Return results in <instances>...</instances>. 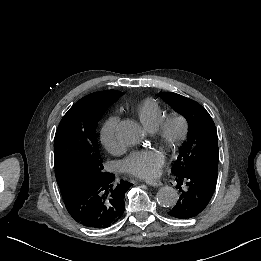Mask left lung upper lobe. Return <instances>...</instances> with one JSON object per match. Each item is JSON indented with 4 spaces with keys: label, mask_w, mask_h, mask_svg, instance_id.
<instances>
[{
    "label": "left lung upper lobe",
    "mask_w": 261,
    "mask_h": 261,
    "mask_svg": "<svg viewBox=\"0 0 261 261\" xmlns=\"http://www.w3.org/2000/svg\"><path fill=\"white\" fill-rule=\"evenodd\" d=\"M159 96L176 111L184 114L188 122L187 141L172 166L174 175L194 170L217 178L219 149L217 131L209 113L199 103L182 95L160 92Z\"/></svg>",
    "instance_id": "5c2ea615"
}]
</instances>
